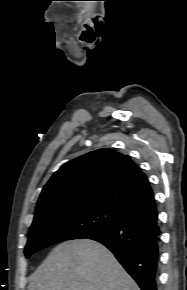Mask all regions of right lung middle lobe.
Masks as SVG:
<instances>
[{
    "label": "right lung middle lobe",
    "mask_w": 187,
    "mask_h": 290,
    "mask_svg": "<svg viewBox=\"0 0 187 290\" xmlns=\"http://www.w3.org/2000/svg\"><path fill=\"white\" fill-rule=\"evenodd\" d=\"M126 218L113 208L92 205L59 211L33 221L25 256L52 244L79 238L115 227Z\"/></svg>",
    "instance_id": "1"
}]
</instances>
